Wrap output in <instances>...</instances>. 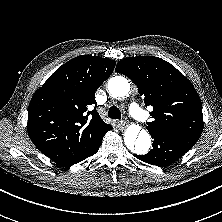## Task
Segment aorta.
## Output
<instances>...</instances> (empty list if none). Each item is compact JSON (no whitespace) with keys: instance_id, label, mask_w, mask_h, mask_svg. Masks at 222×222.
Returning <instances> with one entry per match:
<instances>
[{"instance_id":"762f6f07","label":"aorta","mask_w":222,"mask_h":222,"mask_svg":"<svg viewBox=\"0 0 222 222\" xmlns=\"http://www.w3.org/2000/svg\"><path fill=\"white\" fill-rule=\"evenodd\" d=\"M129 91V81L122 76H115L108 82V92L114 98H125ZM124 141L127 148L138 155L146 154L151 147L149 133L146 130H140L137 126H130L126 130Z\"/></svg>"}]
</instances>
